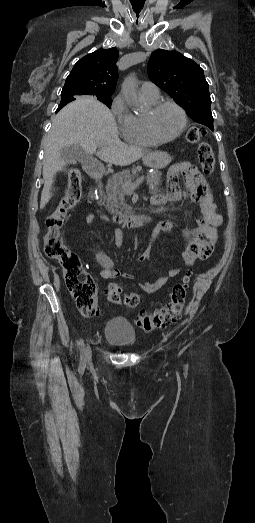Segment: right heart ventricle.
<instances>
[{
  "label": "right heart ventricle",
  "instance_id": "1",
  "mask_svg": "<svg viewBox=\"0 0 255 523\" xmlns=\"http://www.w3.org/2000/svg\"><path fill=\"white\" fill-rule=\"evenodd\" d=\"M142 101L148 107L158 102L159 97H150L141 94ZM141 115L126 110V114L120 118L121 133L124 140L135 146H149L154 141L147 135Z\"/></svg>",
  "mask_w": 255,
  "mask_h": 523
}]
</instances>
